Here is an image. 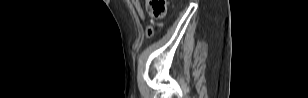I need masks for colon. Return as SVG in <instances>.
<instances>
[{
    "label": "colon",
    "instance_id": "colon-1",
    "mask_svg": "<svg viewBox=\"0 0 308 98\" xmlns=\"http://www.w3.org/2000/svg\"><path fill=\"white\" fill-rule=\"evenodd\" d=\"M146 9L149 16L152 19H161L165 16L167 11V1L166 0H146ZM152 27H149L151 32Z\"/></svg>",
    "mask_w": 308,
    "mask_h": 98
}]
</instances>
